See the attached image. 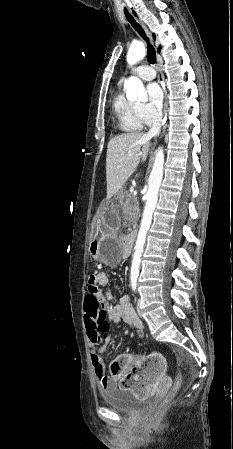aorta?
I'll return each mask as SVG.
<instances>
[{
    "mask_svg": "<svg viewBox=\"0 0 233 449\" xmlns=\"http://www.w3.org/2000/svg\"><path fill=\"white\" fill-rule=\"evenodd\" d=\"M146 48L143 42H134L130 45L127 53V63L129 65H135L137 62L145 57ZM124 89L128 100H141L148 99L145 92L142 81L132 76L124 83ZM163 165H164V152L163 148L159 147L156 151L155 160L151 174L148 181V191L146 193V204L142 216L140 230L137 236L136 245L134 248V255L131 266V278H137L139 272V266L141 262V255L143 247L146 241V234L152 222L153 212L155 210L158 192L163 179Z\"/></svg>",
    "mask_w": 233,
    "mask_h": 449,
    "instance_id": "aorta-1",
    "label": "aorta"
}]
</instances>
